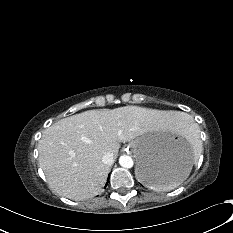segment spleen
<instances>
[{
  "mask_svg": "<svg viewBox=\"0 0 233 233\" xmlns=\"http://www.w3.org/2000/svg\"><path fill=\"white\" fill-rule=\"evenodd\" d=\"M173 128L175 129L176 132H178L179 134L185 136L193 145H194V155L197 156V150H196V146L199 143V139H198V132H199V128L197 126L196 123H194L189 116H185L184 119L179 120V122H177ZM189 176V174H188ZM187 176V177H188ZM185 177L184 179H181L180 181L176 182L175 184H173L170 187H154V190H169V189H174L176 188L178 185H180L184 180H186Z\"/></svg>",
  "mask_w": 233,
  "mask_h": 233,
  "instance_id": "spleen-1",
  "label": "spleen"
}]
</instances>
